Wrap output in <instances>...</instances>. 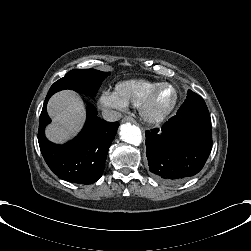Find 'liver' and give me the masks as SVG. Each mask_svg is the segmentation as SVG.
I'll list each match as a JSON object with an SVG mask.
<instances>
[{"instance_id":"liver-1","label":"liver","mask_w":251,"mask_h":251,"mask_svg":"<svg viewBox=\"0 0 251 251\" xmlns=\"http://www.w3.org/2000/svg\"><path fill=\"white\" fill-rule=\"evenodd\" d=\"M51 122L44 128L46 139L55 144L73 140L83 129L87 111L82 98L71 89L54 93L46 106Z\"/></svg>"}]
</instances>
